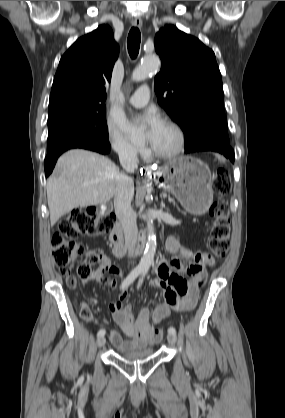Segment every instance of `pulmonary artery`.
<instances>
[{"mask_svg": "<svg viewBox=\"0 0 285 418\" xmlns=\"http://www.w3.org/2000/svg\"><path fill=\"white\" fill-rule=\"evenodd\" d=\"M150 96V90L148 87H140L132 96L129 98V103L135 107H142L147 104Z\"/></svg>", "mask_w": 285, "mask_h": 418, "instance_id": "pulmonary-artery-1", "label": "pulmonary artery"}]
</instances>
